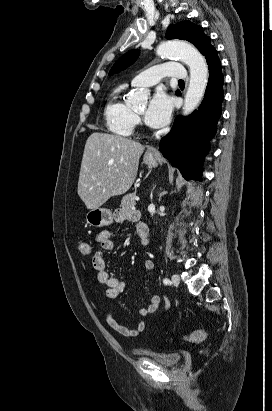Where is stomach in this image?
Here are the masks:
<instances>
[{"label":"stomach","mask_w":272,"mask_h":411,"mask_svg":"<svg viewBox=\"0 0 272 411\" xmlns=\"http://www.w3.org/2000/svg\"><path fill=\"white\" fill-rule=\"evenodd\" d=\"M143 161L149 167H156L159 158L151 152H146ZM86 220L87 223L93 227H104L113 223V215L109 209L98 207L89 210L86 215Z\"/></svg>","instance_id":"1"}]
</instances>
